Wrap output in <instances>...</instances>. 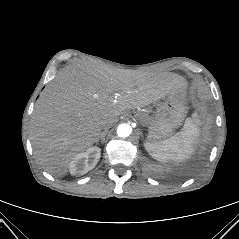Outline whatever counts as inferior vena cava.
I'll return each instance as SVG.
<instances>
[{
    "label": "inferior vena cava",
    "mask_w": 239,
    "mask_h": 239,
    "mask_svg": "<svg viewBox=\"0 0 239 239\" xmlns=\"http://www.w3.org/2000/svg\"><path fill=\"white\" fill-rule=\"evenodd\" d=\"M115 122H116L115 119L106 120L102 123V127L105 131H107L109 128L113 126Z\"/></svg>",
    "instance_id": "1"
}]
</instances>
